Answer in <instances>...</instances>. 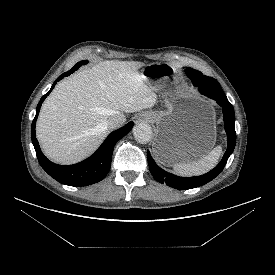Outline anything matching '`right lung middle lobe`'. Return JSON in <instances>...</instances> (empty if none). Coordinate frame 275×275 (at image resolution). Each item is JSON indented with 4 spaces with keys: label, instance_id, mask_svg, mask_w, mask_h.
<instances>
[{
    "label": "right lung middle lobe",
    "instance_id": "dd1d6c3e",
    "mask_svg": "<svg viewBox=\"0 0 275 275\" xmlns=\"http://www.w3.org/2000/svg\"><path fill=\"white\" fill-rule=\"evenodd\" d=\"M87 63L88 61H80L71 70H77L80 66L85 65Z\"/></svg>",
    "mask_w": 275,
    "mask_h": 275
}]
</instances>
